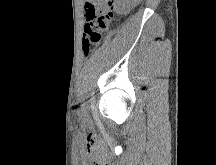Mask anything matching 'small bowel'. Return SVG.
<instances>
[{
	"label": "small bowel",
	"mask_w": 216,
	"mask_h": 165,
	"mask_svg": "<svg viewBox=\"0 0 216 165\" xmlns=\"http://www.w3.org/2000/svg\"><path fill=\"white\" fill-rule=\"evenodd\" d=\"M86 10H97L100 12H105L109 5V0H85ZM140 0H126L125 7L130 9Z\"/></svg>",
	"instance_id": "c3829d8e"
}]
</instances>
